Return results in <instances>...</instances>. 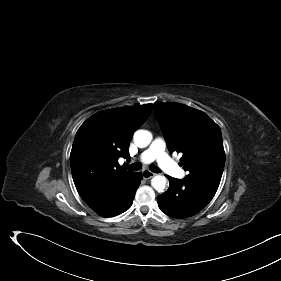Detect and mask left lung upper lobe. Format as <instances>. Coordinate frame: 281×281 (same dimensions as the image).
<instances>
[{
    "label": "left lung upper lobe",
    "mask_w": 281,
    "mask_h": 281,
    "mask_svg": "<svg viewBox=\"0 0 281 281\" xmlns=\"http://www.w3.org/2000/svg\"><path fill=\"white\" fill-rule=\"evenodd\" d=\"M156 118L171 153L181 152L186 178L218 189L225 152L219 126L204 112L178 103L154 104Z\"/></svg>",
    "instance_id": "left-lung-upper-lobe-1"
}]
</instances>
